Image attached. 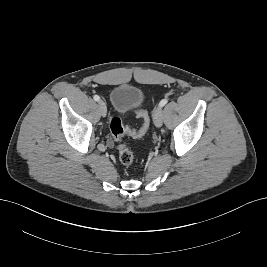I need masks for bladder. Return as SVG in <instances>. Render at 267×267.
<instances>
[{"mask_svg": "<svg viewBox=\"0 0 267 267\" xmlns=\"http://www.w3.org/2000/svg\"><path fill=\"white\" fill-rule=\"evenodd\" d=\"M144 93L136 86L120 84L114 87L109 95L113 110L120 114L128 113L142 106Z\"/></svg>", "mask_w": 267, "mask_h": 267, "instance_id": "obj_1", "label": "bladder"}]
</instances>
